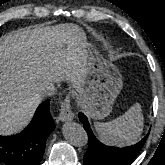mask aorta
Here are the masks:
<instances>
[{"label": "aorta", "mask_w": 165, "mask_h": 165, "mask_svg": "<svg viewBox=\"0 0 165 165\" xmlns=\"http://www.w3.org/2000/svg\"><path fill=\"white\" fill-rule=\"evenodd\" d=\"M62 132L65 139L74 146L81 147L88 142V136L85 129L75 122L66 123L63 126Z\"/></svg>", "instance_id": "762f6f07"}]
</instances>
